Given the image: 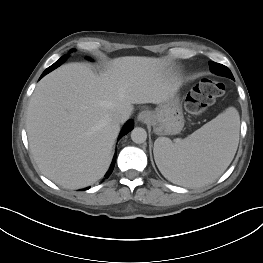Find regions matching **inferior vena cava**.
Returning a JSON list of instances; mask_svg holds the SVG:
<instances>
[{"label": "inferior vena cava", "mask_w": 263, "mask_h": 263, "mask_svg": "<svg viewBox=\"0 0 263 263\" xmlns=\"http://www.w3.org/2000/svg\"><path fill=\"white\" fill-rule=\"evenodd\" d=\"M129 118L127 112H117L113 115V120L117 123H124Z\"/></svg>", "instance_id": "1"}]
</instances>
